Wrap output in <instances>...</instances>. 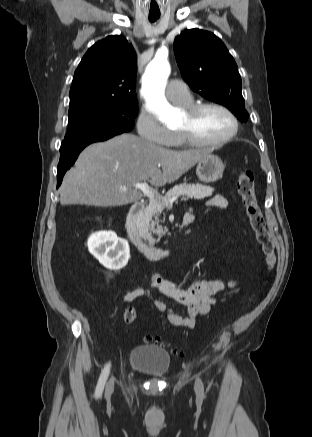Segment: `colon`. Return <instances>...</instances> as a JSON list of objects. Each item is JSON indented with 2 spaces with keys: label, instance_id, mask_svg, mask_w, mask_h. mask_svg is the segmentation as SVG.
<instances>
[{
  "label": "colon",
  "instance_id": "1",
  "mask_svg": "<svg viewBox=\"0 0 312 437\" xmlns=\"http://www.w3.org/2000/svg\"><path fill=\"white\" fill-rule=\"evenodd\" d=\"M237 188L250 226L262 248L265 264L268 269H272L276 262L275 246L266 228L264 216L257 201L254 175L250 170L240 169L237 175ZM136 319V310L133 307H128L124 312V321L131 324Z\"/></svg>",
  "mask_w": 312,
  "mask_h": 437
}]
</instances>
